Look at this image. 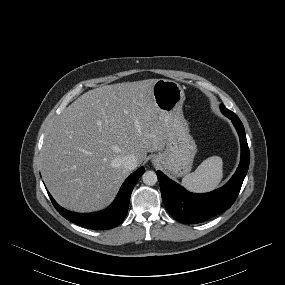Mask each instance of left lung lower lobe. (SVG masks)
Instances as JSON below:
<instances>
[{"label": "left lung lower lobe", "instance_id": "0a47b994", "mask_svg": "<svg viewBox=\"0 0 285 285\" xmlns=\"http://www.w3.org/2000/svg\"><path fill=\"white\" fill-rule=\"evenodd\" d=\"M232 120L240 138L241 161L235 174L222 187L205 194L186 191L179 184L157 171L161 195L168 212L182 223H201L229 209L236 200L247 174L250 153L245 130L237 115H226Z\"/></svg>", "mask_w": 285, "mask_h": 285}]
</instances>
